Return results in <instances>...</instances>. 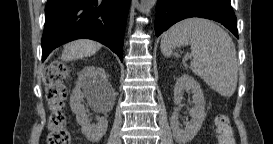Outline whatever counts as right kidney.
Segmentation results:
<instances>
[{
  "instance_id": "ca27d5eb",
  "label": "right kidney",
  "mask_w": 273,
  "mask_h": 144,
  "mask_svg": "<svg viewBox=\"0 0 273 144\" xmlns=\"http://www.w3.org/2000/svg\"><path fill=\"white\" fill-rule=\"evenodd\" d=\"M112 94L113 89L108 83L105 70L94 66L86 67L70 97V107L72 112L76 114V121L81 126L82 133L91 142H97L105 135L108 121L104 117H100L96 125H91L82 104L83 98L87 97L94 105L105 98H110Z\"/></svg>"
}]
</instances>
